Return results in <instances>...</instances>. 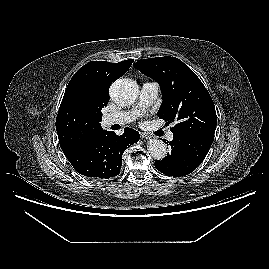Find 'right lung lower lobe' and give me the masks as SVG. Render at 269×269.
<instances>
[{
    "mask_svg": "<svg viewBox=\"0 0 269 269\" xmlns=\"http://www.w3.org/2000/svg\"><path fill=\"white\" fill-rule=\"evenodd\" d=\"M139 138V133L131 128H125L121 136L102 130L63 152L78 173L90 179L104 180L119 174L124 150Z\"/></svg>",
    "mask_w": 269,
    "mask_h": 269,
    "instance_id": "right-lung-lower-lobe-1",
    "label": "right lung lower lobe"
}]
</instances>
